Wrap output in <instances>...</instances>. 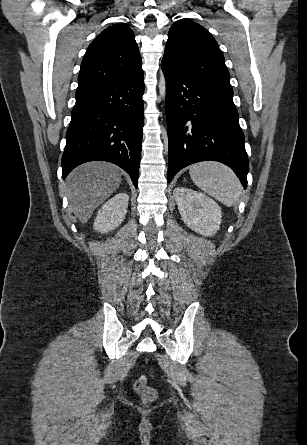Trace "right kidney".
<instances>
[{
    "mask_svg": "<svg viewBox=\"0 0 307 445\" xmlns=\"http://www.w3.org/2000/svg\"><path fill=\"white\" fill-rule=\"evenodd\" d=\"M129 196L126 192H118L101 206L93 223L97 233H108L121 225L128 208Z\"/></svg>",
    "mask_w": 307,
    "mask_h": 445,
    "instance_id": "ca27d5eb",
    "label": "right kidney"
}]
</instances>
